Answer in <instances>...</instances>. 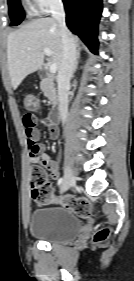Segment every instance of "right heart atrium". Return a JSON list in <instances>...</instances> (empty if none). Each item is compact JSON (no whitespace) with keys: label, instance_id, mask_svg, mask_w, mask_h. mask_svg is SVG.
Wrapping results in <instances>:
<instances>
[{"label":"right heart atrium","instance_id":"obj_1","mask_svg":"<svg viewBox=\"0 0 134 281\" xmlns=\"http://www.w3.org/2000/svg\"><path fill=\"white\" fill-rule=\"evenodd\" d=\"M60 2L61 0H32L34 7L40 12H46Z\"/></svg>","mask_w":134,"mask_h":281}]
</instances>
